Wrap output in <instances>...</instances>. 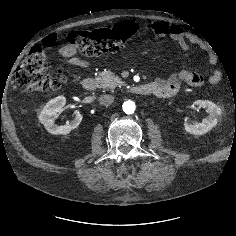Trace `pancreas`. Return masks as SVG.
Instances as JSON below:
<instances>
[{
    "label": "pancreas",
    "instance_id": "cf45deb5",
    "mask_svg": "<svg viewBox=\"0 0 236 236\" xmlns=\"http://www.w3.org/2000/svg\"><path fill=\"white\" fill-rule=\"evenodd\" d=\"M97 80L100 87L104 89H114L115 87H121L124 82L118 76H115L110 70L103 71L99 73Z\"/></svg>",
    "mask_w": 236,
    "mask_h": 236
}]
</instances>
